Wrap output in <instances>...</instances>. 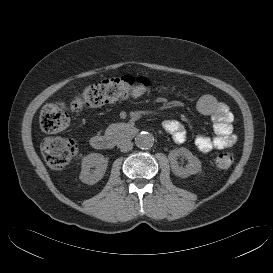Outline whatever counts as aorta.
<instances>
[{
  "instance_id": "obj_1",
  "label": "aorta",
  "mask_w": 273,
  "mask_h": 273,
  "mask_svg": "<svg viewBox=\"0 0 273 273\" xmlns=\"http://www.w3.org/2000/svg\"><path fill=\"white\" fill-rule=\"evenodd\" d=\"M154 137L149 132H140L135 137V144L141 149H149L153 146Z\"/></svg>"
}]
</instances>
